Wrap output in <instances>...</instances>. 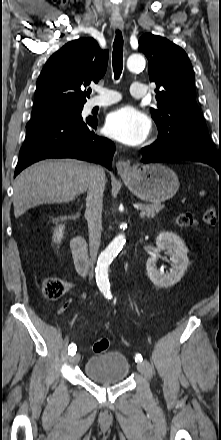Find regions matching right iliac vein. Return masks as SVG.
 Segmentation results:
<instances>
[{
    "mask_svg": "<svg viewBox=\"0 0 221 440\" xmlns=\"http://www.w3.org/2000/svg\"><path fill=\"white\" fill-rule=\"evenodd\" d=\"M80 360V355L77 353L70 358V362L72 364L78 363Z\"/></svg>",
    "mask_w": 221,
    "mask_h": 440,
    "instance_id": "1",
    "label": "right iliac vein"
}]
</instances>
